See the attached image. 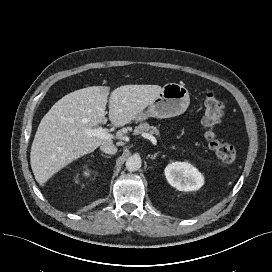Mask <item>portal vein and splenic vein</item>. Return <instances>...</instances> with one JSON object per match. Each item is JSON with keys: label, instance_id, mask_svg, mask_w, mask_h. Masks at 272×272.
<instances>
[{"label": "portal vein and splenic vein", "instance_id": "obj_1", "mask_svg": "<svg viewBox=\"0 0 272 272\" xmlns=\"http://www.w3.org/2000/svg\"><path fill=\"white\" fill-rule=\"evenodd\" d=\"M85 134L92 137H98L101 139H111L113 136L112 134H109L104 128L102 127H97L94 129H86ZM142 136L152 142L153 145H157V140L156 138L149 134V133H143ZM121 139L128 140L129 138L127 136H119Z\"/></svg>", "mask_w": 272, "mask_h": 272}]
</instances>
